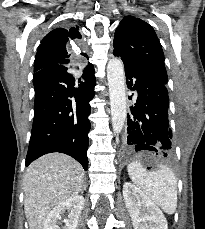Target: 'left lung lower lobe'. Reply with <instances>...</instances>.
I'll return each instance as SVG.
<instances>
[{
  "label": "left lung lower lobe",
  "instance_id": "1",
  "mask_svg": "<svg viewBox=\"0 0 205 229\" xmlns=\"http://www.w3.org/2000/svg\"><path fill=\"white\" fill-rule=\"evenodd\" d=\"M117 56V55H116ZM126 83L138 91L128 114L125 154L148 150L163 158L173 152L172 131L168 120L169 96L166 84L124 64ZM130 80V81H129ZM131 99V97H129Z\"/></svg>",
  "mask_w": 205,
  "mask_h": 229
}]
</instances>
